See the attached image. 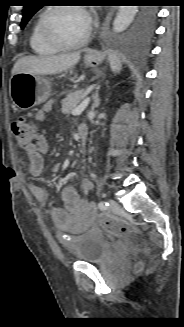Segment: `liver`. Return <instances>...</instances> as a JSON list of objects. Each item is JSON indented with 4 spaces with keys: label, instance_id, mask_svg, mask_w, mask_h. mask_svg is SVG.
Wrapping results in <instances>:
<instances>
[{
    "label": "liver",
    "instance_id": "obj_1",
    "mask_svg": "<svg viewBox=\"0 0 184 327\" xmlns=\"http://www.w3.org/2000/svg\"><path fill=\"white\" fill-rule=\"evenodd\" d=\"M80 60V52L56 56H26L17 60L12 76L17 72L38 75L57 74L75 66Z\"/></svg>",
    "mask_w": 184,
    "mask_h": 327
}]
</instances>
